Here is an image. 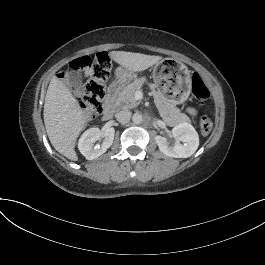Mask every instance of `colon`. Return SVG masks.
<instances>
[{
	"label": "colon",
	"mask_w": 265,
	"mask_h": 265,
	"mask_svg": "<svg viewBox=\"0 0 265 265\" xmlns=\"http://www.w3.org/2000/svg\"><path fill=\"white\" fill-rule=\"evenodd\" d=\"M112 60L108 53L99 52L91 56H81L70 63L72 70L85 69L90 72V79L86 84L85 92L81 100V108L89 115H97L103 109L105 98V82L109 77ZM64 75V72L61 73ZM192 93L200 104L206 102L210 91L198 74H193ZM200 132L207 135L213 128L212 120L209 117H202L199 124Z\"/></svg>",
	"instance_id": "1"
}]
</instances>
